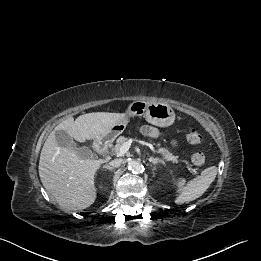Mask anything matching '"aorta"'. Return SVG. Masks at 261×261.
Masks as SVG:
<instances>
[{
	"instance_id": "762f6f07",
	"label": "aorta",
	"mask_w": 261,
	"mask_h": 261,
	"mask_svg": "<svg viewBox=\"0 0 261 261\" xmlns=\"http://www.w3.org/2000/svg\"><path fill=\"white\" fill-rule=\"evenodd\" d=\"M128 169L132 171L133 173H139L142 170V165L137 160H130L128 162Z\"/></svg>"
}]
</instances>
